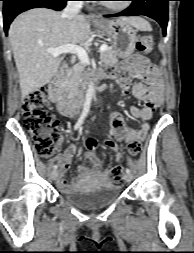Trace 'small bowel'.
<instances>
[{"label": "small bowel", "instance_id": "c3829d8e", "mask_svg": "<svg viewBox=\"0 0 194 253\" xmlns=\"http://www.w3.org/2000/svg\"><path fill=\"white\" fill-rule=\"evenodd\" d=\"M156 72L157 66H154L151 60L139 55L129 57L112 68L104 67L101 69V76L114 79L121 87L122 94L131 93L135 98L144 101L143 107L132 106L130 108V113L133 117L143 120L138 129L129 128L118 112L112 113L110 135L116 141H124L130 144L133 141L142 142L146 138L150 129L149 120L152 118L153 111L163 103L164 99L163 85L154 77ZM132 78H137L140 81L130 84L129 80ZM116 141L108 139L104 141L103 145L112 150L114 159L119 161L122 158V153ZM76 151V145L71 143L66 147L61 156L55 158V161L59 165L57 184L60 190L64 192L71 191L74 185L81 181V178H74L72 182H68L65 178V173ZM85 159L92 161V167L89 168L85 164H81L78 167L81 177L92 175L100 182H108L110 180L113 167L103 170L100 161L94 157V153L91 151L85 154Z\"/></svg>", "mask_w": 194, "mask_h": 253}]
</instances>
